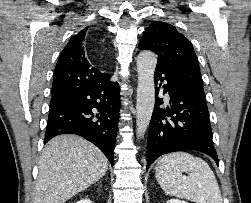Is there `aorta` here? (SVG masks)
Returning a JSON list of instances; mask_svg holds the SVG:
<instances>
[{
    "mask_svg": "<svg viewBox=\"0 0 251 203\" xmlns=\"http://www.w3.org/2000/svg\"><path fill=\"white\" fill-rule=\"evenodd\" d=\"M157 56L152 51H142L137 57V103H136V133L143 137L150 123L155 104L154 72Z\"/></svg>",
    "mask_w": 251,
    "mask_h": 203,
    "instance_id": "762f6f07",
    "label": "aorta"
}]
</instances>
